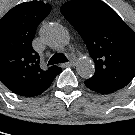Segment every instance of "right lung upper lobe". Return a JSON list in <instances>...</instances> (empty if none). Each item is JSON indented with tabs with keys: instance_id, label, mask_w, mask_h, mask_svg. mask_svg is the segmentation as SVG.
I'll return each mask as SVG.
<instances>
[{
	"instance_id": "1",
	"label": "right lung upper lobe",
	"mask_w": 135,
	"mask_h": 135,
	"mask_svg": "<svg viewBox=\"0 0 135 135\" xmlns=\"http://www.w3.org/2000/svg\"><path fill=\"white\" fill-rule=\"evenodd\" d=\"M50 11L48 3L24 2L0 20V81L17 95L42 94L62 71L58 66L41 69L40 57L32 48L37 26Z\"/></svg>"
}]
</instances>
